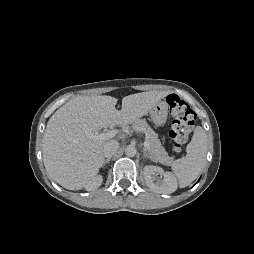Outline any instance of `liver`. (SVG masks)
Wrapping results in <instances>:
<instances>
[{
    "instance_id": "liver-1",
    "label": "liver",
    "mask_w": 254,
    "mask_h": 254,
    "mask_svg": "<svg viewBox=\"0 0 254 254\" xmlns=\"http://www.w3.org/2000/svg\"><path fill=\"white\" fill-rule=\"evenodd\" d=\"M168 91H148L125 96L122 109L107 95L77 96L60 107L49 119L43 137V162L52 179L69 190L88 187L104 162L106 140H92L111 125L132 124L163 98Z\"/></svg>"
}]
</instances>
